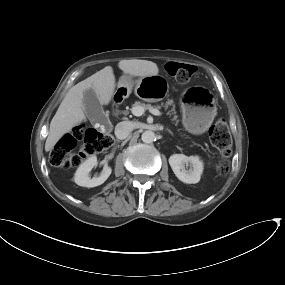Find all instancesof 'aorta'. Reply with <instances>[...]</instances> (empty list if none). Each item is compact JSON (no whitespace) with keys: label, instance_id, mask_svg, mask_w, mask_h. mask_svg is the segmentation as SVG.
<instances>
[{"label":"aorta","instance_id":"1","mask_svg":"<svg viewBox=\"0 0 285 285\" xmlns=\"http://www.w3.org/2000/svg\"><path fill=\"white\" fill-rule=\"evenodd\" d=\"M141 139L144 143H152L153 141H155L156 136L155 133L151 130H146L142 133L141 135Z\"/></svg>","mask_w":285,"mask_h":285}]
</instances>
